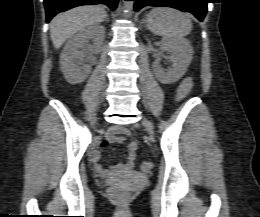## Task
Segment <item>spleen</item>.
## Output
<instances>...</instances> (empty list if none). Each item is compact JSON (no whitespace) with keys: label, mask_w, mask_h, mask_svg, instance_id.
Wrapping results in <instances>:
<instances>
[{"label":"spleen","mask_w":260,"mask_h":217,"mask_svg":"<svg viewBox=\"0 0 260 217\" xmlns=\"http://www.w3.org/2000/svg\"><path fill=\"white\" fill-rule=\"evenodd\" d=\"M147 27L154 34L164 38L183 37L190 33L192 21L181 11L159 7L153 9L147 16Z\"/></svg>","instance_id":"3e777b00"}]
</instances>
